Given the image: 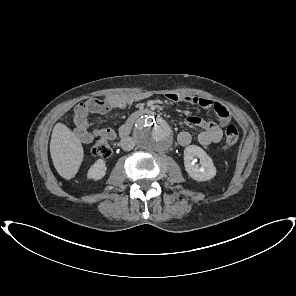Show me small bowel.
I'll list each match as a JSON object with an SVG mask.
<instances>
[{
    "instance_id": "1",
    "label": "small bowel",
    "mask_w": 296,
    "mask_h": 296,
    "mask_svg": "<svg viewBox=\"0 0 296 296\" xmlns=\"http://www.w3.org/2000/svg\"><path fill=\"white\" fill-rule=\"evenodd\" d=\"M167 99L171 102H179L185 105L199 106L206 110H213L217 119L214 121L204 120L197 116H189L186 120L187 124L200 127L202 130L197 135V141L202 146L218 143L222 138L223 128L230 122L231 116L229 110L221 103L212 101L207 98L168 94ZM135 99L122 95H108L100 98H93L84 103H80L75 109V136L82 143H90L97 137L114 140L117 132L112 128L94 129L89 131L88 114H106L113 109L124 108L131 104ZM82 110V112H81ZM177 141L182 146L191 143L192 137L190 133L181 131L177 135Z\"/></svg>"
}]
</instances>
